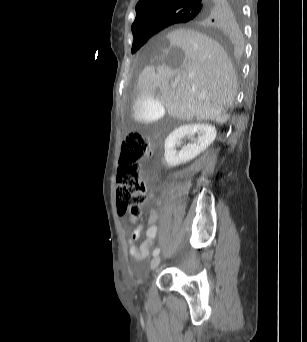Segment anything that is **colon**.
Masks as SVG:
<instances>
[{"mask_svg":"<svg viewBox=\"0 0 307 342\" xmlns=\"http://www.w3.org/2000/svg\"><path fill=\"white\" fill-rule=\"evenodd\" d=\"M151 142L138 132H131L121 148L116 202L121 215L138 219L146 200V185L140 178L139 161L149 156Z\"/></svg>","mask_w":307,"mask_h":342,"instance_id":"5ec220e1","label":"colon"}]
</instances>
